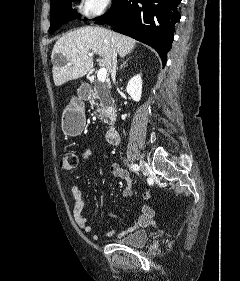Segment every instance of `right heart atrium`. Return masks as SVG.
<instances>
[{
    "label": "right heart atrium",
    "instance_id": "d8ad5b80",
    "mask_svg": "<svg viewBox=\"0 0 240 281\" xmlns=\"http://www.w3.org/2000/svg\"><path fill=\"white\" fill-rule=\"evenodd\" d=\"M111 0H81L80 12L89 19L103 15L110 7Z\"/></svg>",
    "mask_w": 240,
    "mask_h": 281
}]
</instances>
